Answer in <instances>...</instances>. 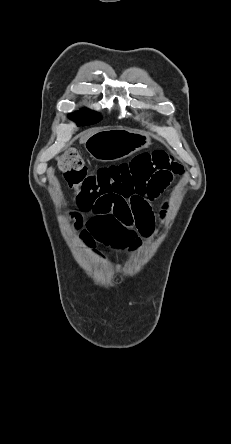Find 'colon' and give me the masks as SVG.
Here are the masks:
<instances>
[{
	"mask_svg": "<svg viewBox=\"0 0 231 444\" xmlns=\"http://www.w3.org/2000/svg\"><path fill=\"white\" fill-rule=\"evenodd\" d=\"M59 166L78 198H120L126 200L132 210H136L143 199L152 197V184L166 186L174 175L184 171L178 162L161 150L139 155L129 163L102 167L93 172L88 170L76 151L68 150L60 157Z\"/></svg>",
	"mask_w": 231,
	"mask_h": 444,
	"instance_id": "1",
	"label": "colon"
}]
</instances>
